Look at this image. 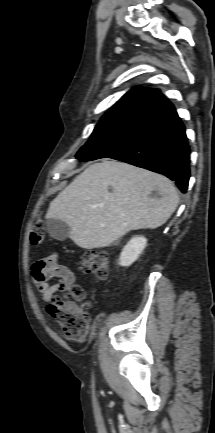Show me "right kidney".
<instances>
[{"label": "right kidney", "mask_w": 215, "mask_h": 433, "mask_svg": "<svg viewBox=\"0 0 215 433\" xmlns=\"http://www.w3.org/2000/svg\"><path fill=\"white\" fill-rule=\"evenodd\" d=\"M146 245L147 239L145 237L137 236L132 238L121 252L119 258V265L130 266L138 259L139 255L143 252Z\"/></svg>", "instance_id": "ca27d5eb"}]
</instances>
